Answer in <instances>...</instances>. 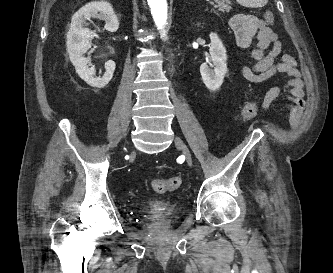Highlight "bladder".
Listing matches in <instances>:
<instances>
[{"mask_svg": "<svg viewBox=\"0 0 333 273\" xmlns=\"http://www.w3.org/2000/svg\"><path fill=\"white\" fill-rule=\"evenodd\" d=\"M177 206L170 202H163L149 207V215L156 222L169 224L174 218Z\"/></svg>", "mask_w": 333, "mask_h": 273, "instance_id": "bladder-1", "label": "bladder"}]
</instances>
